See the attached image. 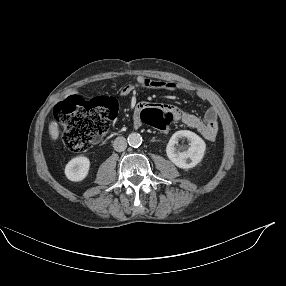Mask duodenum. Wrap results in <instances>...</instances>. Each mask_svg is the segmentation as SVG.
<instances>
[{
	"instance_id": "410a0bca",
	"label": "duodenum",
	"mask_w": 286,
	"mask_h": 286,
	"mask_svg": "<svg viewBox=\"0 0 286 286\" xmlns=\"http://www.w3.org/2000/svg\"><path fill=\"white\" fill-rule=\"evenodd\" d=\"M134 125H135V126H138V125H139V122H138V121H135Z\"/></svg>"
}]
</instances>
